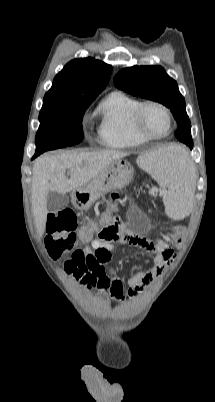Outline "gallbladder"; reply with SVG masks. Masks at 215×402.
I'll return each mask as SVG.
<instances>
[{
	"instance_id": "obj_1",
	"label": "gallbladder",
	"mask_w": 215,
	"mask_h": 402,
	"mask_svg": "<svg viewBox=\"0 0 215 402\" xmlns=\"http://www.w3.org/2000/svg\"><path fill=\"white\" fill-rule=\"evenodd\" d=\"M69 203V197L66 194L58 192H49L47 195V209L49 212H57L61 208L67 206Z\"/></svg>"
}]
</instances>
